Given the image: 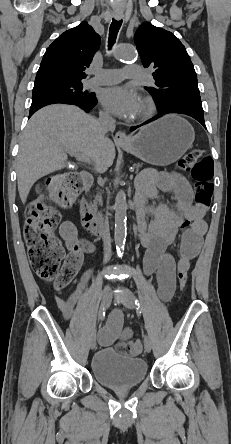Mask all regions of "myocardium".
I'll list each match as a JSON object with an SVG mask.
<instances>
[{"mask_svg":"<svg viewBox=\"0 0 231 444\" xmlns=\"http://www.w3.org/2000/svg\"><path fill=\"white\" fill-rule=\"evenodd\" d=\"M141 108L136 116L139 120H145L150 118L155 113V104L153 100L148 96H143L140 99Z\"/></svg>","mask_w":231,"mask_h":444,"instance_id":"f54148a6","label":"myocardium"}]
</instances>
